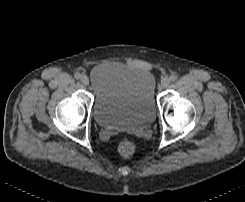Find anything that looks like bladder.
<instances>
[{"mask_svg": "<svg viewBox=\"0 0 245 202\" xmlns=\"http://www.w3.org/2000/svg\"><path fill=\"white\" fill-rule=\"evenodd\" d=\"M94 122L104 129L151 125L158 110L151 71L121 62L101 63L90 74Z\"/></svg>", "mask_w": 245, "mask_h": 202, "instance_id": "31cf9c89", "label": "bladder"}]
</instances>
